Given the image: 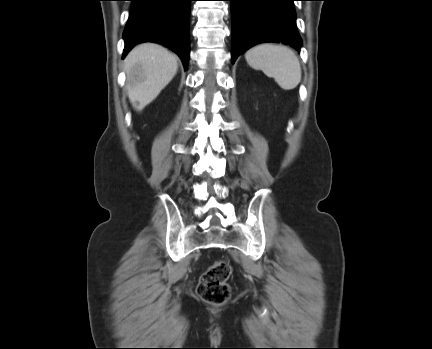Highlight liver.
Returning a JSON list of instances; mask_svg holds the SVG:
<instances>
[{"mask_svg": "<svg viewBox=\"0 0 432 349\" xmlns=\"http://www.w3.org/2000/svg\"><path fill=\"white\" fill-rule=\"evenodd\" d=\"M178 70V58L164 47L143 43L124 60L129 100L141 111L169 84Z\"/></svg>", "mask_w": 432, "mask_h": 349, "instance_id": "6515ba94", "label": "liver"}]
</instances>
